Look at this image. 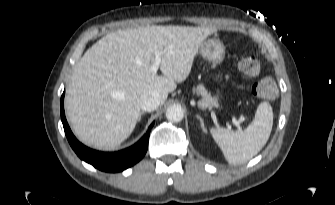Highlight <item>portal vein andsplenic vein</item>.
Returning a JSON list of instances; mask_svg holds the SVG:
<instances>
[{
	"instance_id": "portal-vein-and-splenic-vein-1",
	"label": "portal vein and splenic vein",
	"mask_w": 335,
	"mask_h": 205,
	"mask_svg": "<svg viewBox=\"0 0 335 205\" xmlns=\"http://www.w3.org/2000/svg\"><path fill=\"white\" fill-rule=\"evenodd\" d=\"M161 54L162 51L161 50H156L154 52V58H153V62L152 65L150 66V70L153 73H156L157 70L159 69L160 63H161ZM233 124L239 127V123L233 118L232 120ZM239 130L241 131L242 129L239 127Z\"/></svg>"
}]
</instances>
